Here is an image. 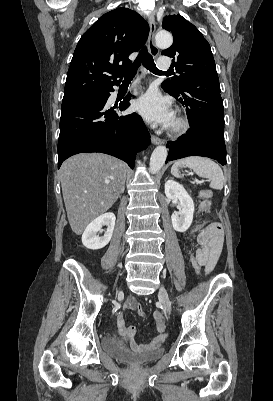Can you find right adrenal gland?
<instances>
[{
    "label": "right adrenal gland",
    "mask_w": 273,
    "mask_h": 401,
    "mask_svg": "<svg viewBox=\"0 0 273 401\" xmlns=\"http://www.w3.org/2000/svg\"><path fill=\"white\" fill-rule=\"evenodd\" d=\"M125 180H126V176H125V178H124V182H125Z\"/></svg>",
    "instance_id": "right-adrenal-gland-1"
}]
</instances>
